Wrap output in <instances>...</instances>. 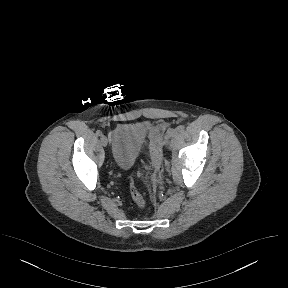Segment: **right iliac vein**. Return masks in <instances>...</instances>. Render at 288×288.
I'll return each mask as SVG.
<instances>
[{
  "label": "right iliac vein",
  "instance_id": "obj_1",
  "mask_svg": "<svg viewBox=\"0 0 288 288\" xmlns=\"http://www.w3.org/2000/svg\"><path fill=\"white\" fill-rule=\"evenodd\" d=\"M101 144H102L104 147L107 146L108 140H107V138H106L105 136H102V137H101Z\"/></svg>",
  "mask_w": 288,
  "mask_h": 288
}]
</instances>
